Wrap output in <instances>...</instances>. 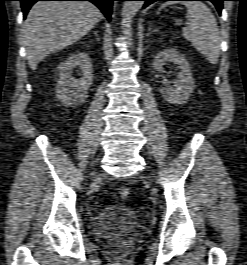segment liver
<instances>
[{"label":"liver","mask_w":247,"mask_h":265,"mask_svg":"<svg viewBox=\"0 0 247 265\" xmlns=\"http://www.w3.org/2000/svg\"><path fill=\"white\" fill-rule=\"evenodd\" d=\"M101 18L100 10L89 2H37L23 25L30 68L35 71L45 57L80 40Z\"/></svg>","instance_id":"1"}]
</instances>
